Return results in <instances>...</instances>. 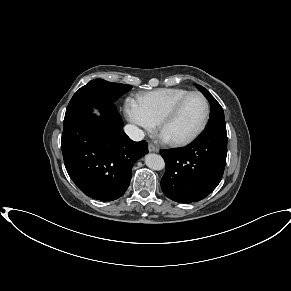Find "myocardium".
I'll list each match as a JSON object with an SVG mask.
<instances>
[{"label": "myocardium", "instance_id": "myocardium-1", "mask_svg": "<svg viewBox=\"0 0 291 291\" xmlns=\"http://www.w3.org/2000/svg\"><path fill=\"white\" fill-rule=\"evenodd\" d=\"M192 96H199L203 99L204 103H205V113L203 116V119L200 123V125L198 126V128L192 132L190 135L183 137V138H179V139H165V141L172 145V146H184L187 145L191 142H193L195 139H197L201 133L205 130L208 121H209V117H210V104L209 101L207 100V98L200 92H189L187 95H185L184 97H182L162 118L161 120L158 122V129L159 132L162 133L163 129L167 126V124H169L173 119L176 118V116L179 114L181 108L183 107V105L186 103V101L192 97Z\"/></svg>", "mask_w": 291, "mask_h": 291}]
</instances>
